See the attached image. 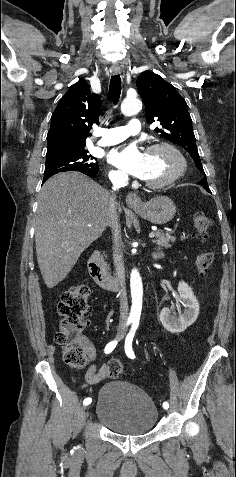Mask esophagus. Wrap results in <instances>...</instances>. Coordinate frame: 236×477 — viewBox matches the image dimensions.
<instances>
[{"label": "esophagus", "instance_id": "1", "mask_svg": "<svg viewBox=\"0 0 236 477\" xmlns=\"http://www.w3.org/2000/svg\"><path fill=\"white\" fill-rule=\"evenodd\" d=\"M111 73L113 75L119 74L120 73V67L118 65H113L111 67ZM126 203L130 208H132L134 210L141 209L142 206H143V202H142L141 198L136 193H129L126 196Z\"/></svg>", "mask_w": 236, "mask_h": 477}]
</instances>
